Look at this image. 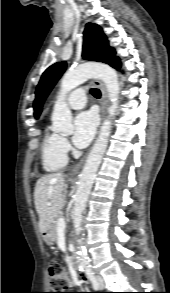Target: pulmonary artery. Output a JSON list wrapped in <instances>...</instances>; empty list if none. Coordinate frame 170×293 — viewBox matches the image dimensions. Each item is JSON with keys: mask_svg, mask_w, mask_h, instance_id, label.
Listing matches in <instances>:
<instances>
[{"mask_svg": "<svg viewBox=\"0 0 170 293\" xmlns=\"http://www.w3.org/2000/svg\"><path fill=\"white\" fill-rule=\"evenodd\" d=\"M67 104L73 109H81L86 105V90L79 87L66 97Z\"/></svg>", "mask_w": 170, "mask_h": 293, "instance_id": "pulmonary-artery-1", "label": "pulmonary artery"}]
</instances>
